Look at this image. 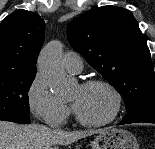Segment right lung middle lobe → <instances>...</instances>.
<instances>
[{
  "mask_svg": "<svg viewBox=\"0 0 155 149\" xmlns=\"http://www.w3.org/2000/svg\"><path fill=\"white\" fill-rule=\"evenodd\" d=\"M36 72L0 74V120L30 123L28 91Z\"/></svg>",
  "mask_w": 155,
  "mask_h": 149,
  "instance_id": "obj_1",
  "label": "right lung middle lobe"
}]
</instances>
